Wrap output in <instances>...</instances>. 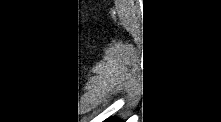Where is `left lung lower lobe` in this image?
Instances as JSON below:
<instances>
[{"label": "left lung lower lobe", "instance_id": "obj_1", "mask_svg": "<svg viewBox=\"0 0 221 122\" xmlns=\"http://www.w3.org/2000/svg\"><path fill=\"white\" fill-rule=\"evenodd\" d=\"M107 121H108V122H119L118 120H116V119H111V118L108 119Z\"/></svg>", "mask_w": 221, "mask_h": 122}]
</instances>
